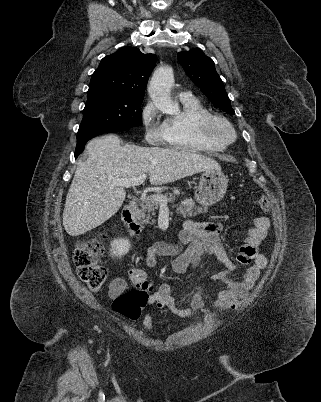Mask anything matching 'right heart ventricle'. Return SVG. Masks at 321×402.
I'll return each mask as SVG.
<instances>
[{
    "mask_svg": "<svg viewBox=\"0 0 321 402\" xmlns=\"http://www.w3.org/2000/svg\"><path fill=\"white\" fill-rule=\"evenodd\" d=\"M180 114L167 118L163 122V140L166 145L187 151L216 153L224 147L211 143L200 133L198 121L209 114V109L197 98L181 100Z\"/></svg>",
    "mask_w": 321,
    "mask_h": 402,
    "instance_id": "1",
    "label": "right heart ventricle"
}]
</instances>
